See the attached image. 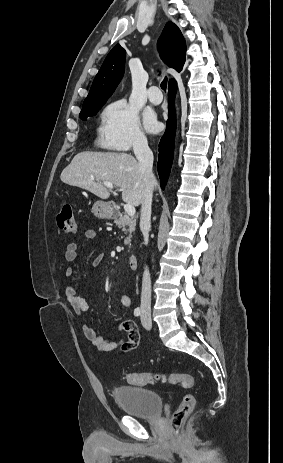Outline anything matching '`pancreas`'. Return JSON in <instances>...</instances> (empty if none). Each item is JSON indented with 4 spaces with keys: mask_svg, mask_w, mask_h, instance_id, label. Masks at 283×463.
Segmentation results:
<instances>
[{
    "mask_svg": "<svg viewBox=\"0 0 283 463\" xmlns=\"http://www.w3.org/2000/svg\"><path fill=\"white\" fill-rule=\"evenodd\" d=\"M114 223L118 226L119 229L126 233L128 232V236L124 240V244L128 245L131 242L132 233L135 232L136 227V219L134 217L129 216H120L119 218H114Z\"/></svg>",
    "mask_w": 283,
    "mask_h": 463,
    "instance_id": "1",
    "label": "pancreas"
}]
</instances>
